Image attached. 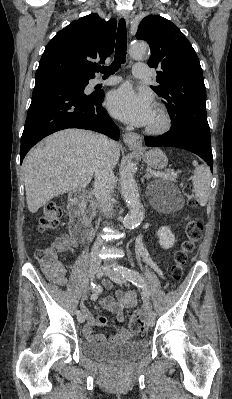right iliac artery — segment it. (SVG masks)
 Here are the masks:
<instances>
[{
    "label": "right iliac artery",
    "mask_w": 232,
    "mask_h": 399,
    "mask_svg": "<svg viewBox=\"0 0 232 399\" xmlns=\"http://www.w3.org/2000/svg\"><path fill=\"white\" fill-rule=\"evenodd\" d=\"M95 287V284L94 283H91V288H94ZM96 297V294H92L91 295V298H95ZM75 314L77 315V316H80L81 315V311L80 310H76V312H75Z\"/></svg>",
    "instance_id": "82829eb1"
}]
</instances>
